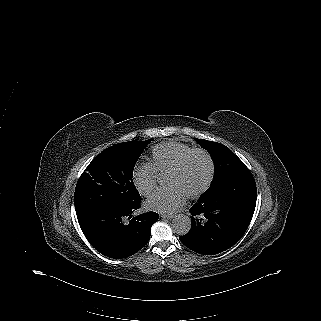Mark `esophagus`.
<instances>
[{
    "label": "esophagus",
    "instance_id": "obj_1",
    "mask_svg": "<svg viewBox=\"0 0 321 321\" xmlns=\"http://www.w3.org/2000/svg\"><path fill=\"white\" fill-rule=\"evenodd\" d=\"M164 219H171L173 216L172 215H162Z\"/></svg>",
    "mask_w": 321,
    "mask_h": 321
}]
</instances>
